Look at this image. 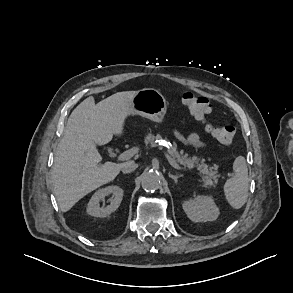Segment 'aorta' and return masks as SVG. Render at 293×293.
I'll use <instances>...</instances> for the list:
<instances>
[{"label":"aorta","mask_w":293,"mask_h":293,"mask_svg":"<svg viewBox=\"0 0 293 293\" xmlns=\"http://www.w3.org/2000/svg\"><path fill=\"white\" fill-rule=\"evenodd\" d=\"M142 188L145 191L152 192L161 187L160 175L155 171H149L143 174L141 180Z\"/></svg>","instance_id":"1"}]
</instances>
